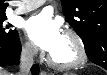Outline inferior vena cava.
Here are the masks:
<instances>
[{
  "mask_svg": "<svg viewBox=\"0 0 107 75\" xmlns=\"http://www.w3.org/2000/svg\"><path fill=\"white\" fill-rule=\"evenodd\" d=\"M37 52L36 46L28 43L23 46L20 54L19 72L17 75H28L33 65V56Z\"/></svg>",
  "mask_w": 107,
  "mask_h": 75,
  "instance_id": "obj_1",
  "label": "inferior vena cava"
}]
</instances>
